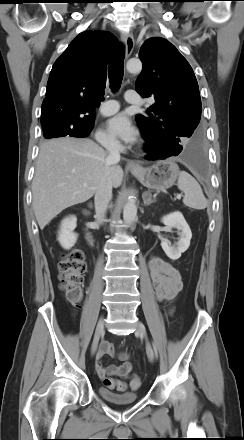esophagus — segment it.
I'll list each match as a JSON object with an SVG mask.
<instances>
[{
	"instance_id": "obj_1",
	"label": "esophagus",
	"mask_w": 244,
	"mask_h": 440,
	"mask_svg": "<svg viewBox=\"0 0 244 440\" xmlns=\"http://www.w3.org/2000/svg\"><path fill=\"white\" fill-rule=\"evenodd\" d=\"M121 39L125 47V55L126 57H129L134 49L135 41L132 33H122ZM128 167L130 168H139V165L134 162H129Z\"/></svg>"
}]
</instances>
